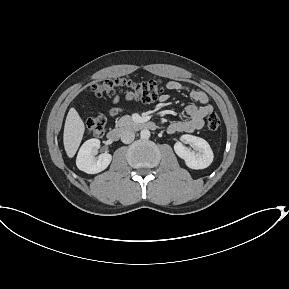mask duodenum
Segmentation results:
<instances>
[{"mask_svg": "<svg viewBox=\"0 0 289 289\" xmlns=\"http://www.w3.org/2000/svg\"><path fill=\"white\" fill-rule=\"evenodd\" d=\"M128 128H133V129H136V130L155 129L156 125H155L154 122H141V123H132V124H127V125H123V126H120V127H116V128L111 129L107 133L108 140L111 141V142L118 141L119 138L121 137L122 133Z\"/></svg>", "mask_w": 289, "mask_h": 289, "instance_id": "obj_1", "label": "duodenum"}]
</instances>
